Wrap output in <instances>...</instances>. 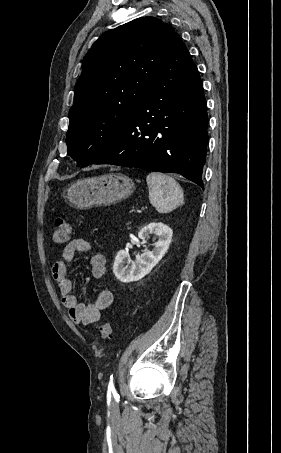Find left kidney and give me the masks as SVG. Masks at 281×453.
<instances>
[{
	"label": "left kidney",
	"mask_w": 281,
	"mask_h": 453,
	"mask_svg": "<svg viewBox=\"0 0 281 453\" xmlns=\"http://www.w3.org/2000/svg\"><path fill=\"white\" fill-rule=\"evenodd\" d=\"M150 235H156L158 241L155 243L153 251H144L135 261H131L130 255L126 251H118L113 267V273L121 283H132L140 281L145 275L152 271L153 267L161 261L169 249L172 239V229L164 222H149L138 233L142 243H146ZM126 263H131L130 267Z\"/></svg>",
	"instance_id": "5707ae66"
}]
</instances>
